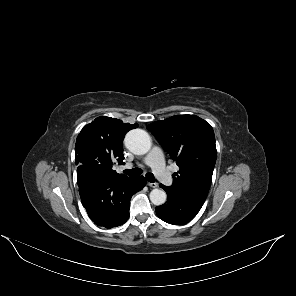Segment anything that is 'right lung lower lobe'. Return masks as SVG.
<instances>
[{
  "label": "right lung lower lobe",
  "instance_id": "obj_1",
  "mask_svg": "<svg viewBox=\"0 0 296 296\" xmlns=\"http://www.w3.org/2000/svg\"><path fill=\"white\" fill-rule=\"evenodd\" d=\"M77 176L80 197L88 216L96 225L106 228L117 227L127 221L132 195L146 185L143 176L107 180L82 166H78Z\"/></svg>",
  "mask_w": 296,
  "mask_h": 296
}]
</instances>
